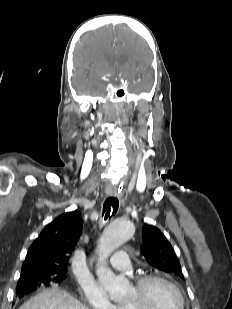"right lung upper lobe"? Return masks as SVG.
<instances>
[{"label":"right lung upper lobe","mask_w":232,"mask_h":309,"mask_svg":"<svg viewBox=\"0 0 232 309\" xmlns=\"http://www.w3.org/2000/svg\"><path fill=\"white\" fill-rule=\"evenodd\" d=\"M82 224V218L77 211L62 214L54 219L28 249L21 272H67L69 256L81 235Z\"/></svg>","instance_id":"right-lung-upper-lobe-1"}]
</instances>
